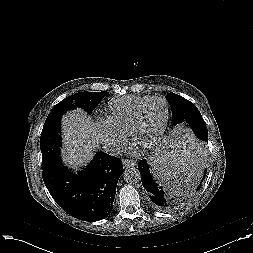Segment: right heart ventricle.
Listing matches in <instances>:
<instances>
[{
	"label": "right heart ventricle",
	"instance_id": "e07e8e85",
	"mask_svg": "<svg viewBox=\"0 0 253 253\" xmlns=\"http://www.w3.org/2000/svg\"><path fill=\"white\" fill-rule=\"evenodd\" d=\"M148 98L149 96L127 95L112 99L108 103L106 120L115 131L126 135L136 109Z\"/></svg>",
	"mask_w": 253,
	"mask_h": 253
}]
</instances>
